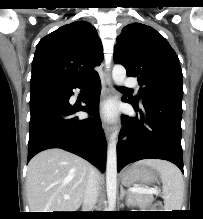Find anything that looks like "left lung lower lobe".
<instances>
[{"label":"left lung lower lobe","mask_w":203,"mask_h":219,"mask_svg":"<svg viewBox=\"0 0 203 219\" xmlns=\"http://www.w3.org/2000/svg\"><path fill=\"white\" fill-rule=\"evenodd\" d=\"M142 99L141 107L135 100L129 101L139 118L122 117L128 124L119 134L124 140L117 144V171L129 163L154 158L170 161L183 172L182 99L161 95Z\"/></svg>","instance_id":"0a47b994"}]
</instances>
